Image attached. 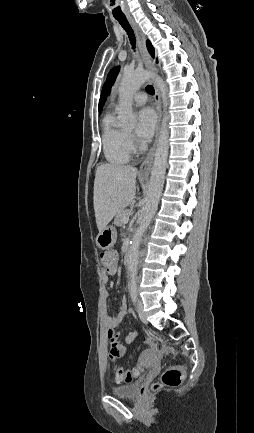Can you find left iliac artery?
Returning <instances> with one entry per match:
<instances>
[{"label": "left iliac artery", "instance_id": "left-iliac-artery-1", "mask_svg": "<svg viewBox=\"0 0 254 433\" xmlns=\"http://www.w3.org/2000/svg\"><path fill=\"white\" fill-rule=\"evenodd\" d=\"M130 295H131L132 300L136 301V299H137V285H136L135 280H133L131 282Z\"/></svg>", "mask_w": 254, "mask_h": 433}]
</instances>
